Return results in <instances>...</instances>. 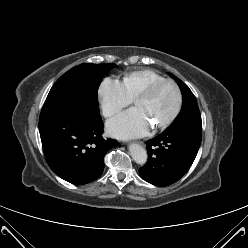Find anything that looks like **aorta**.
Returning <instances> with one entry per match:
<instances>
[{"mask_svg":"<svg viewBox=\"0 0 248 248\" xmlns=\"http://www.w3.org/2000/svg\"><path fill=\"white\" fill-rule=\"evenodd\" d=\"M129 152L132 159L140 165H144L147 162V151L141 145L133 143L129 145Z\"/></svg>","mask_w":248,"mask_h":248,"instance_id":"obj_1","label":"aorta"}]
</instances>
